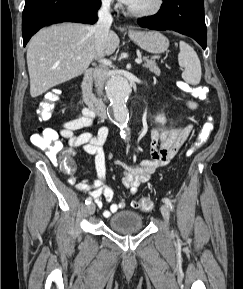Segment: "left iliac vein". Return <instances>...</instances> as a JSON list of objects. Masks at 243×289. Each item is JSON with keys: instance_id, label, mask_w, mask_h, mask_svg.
<instances>
[{"instance_id": "4c4485c4", "label": "left iliac vein", "mask_w": 243, "mask_h": 289, "mask_svg": "<svg viewBox=\"0 0 243 289\" xmlns=\"http://www.w3.org/2000/svg\"><path fill=\"white\" fill-rule=\"evenodd\" d=\"M161 213H162V216L165 220L166 223H169V218H170V210H169V207L165 204L161 205Z\"/></svg>"}]
</instances>
